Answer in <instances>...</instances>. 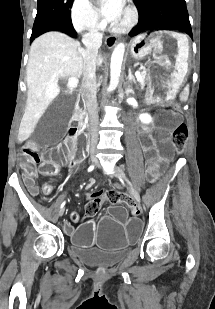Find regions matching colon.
<instances>
[{"label": "colon", "mask_w": 215, "mask_h": 309, "mask_svg": "<svg viewBox=\"0 0 215 309\" xmlns=\"http://www.w3.org/2000/svg\"><path fill=\"white\" fill-rule=\"evenodd\" d=\"M173 144L178 151H182L188 140V127L186 123L181 122L177 124L172 136ZM20 164L23 169L29 173L35 170L37 162L40 157L39 154L32 151H25L20 156ZM57 162L46 160L43 162L42 172L51 176L57 174ZM52 184L47 182L43 185V192L50 194L52 192ZM106 200L110 204H124L129 203L130 199L125 194L117 191H103L102 193H93L90 195L89 200L85 204V214L87 217L96 216L100 209L102 202Z\"/></svg>", "instance_id": "obj_1"}]
</instances>
